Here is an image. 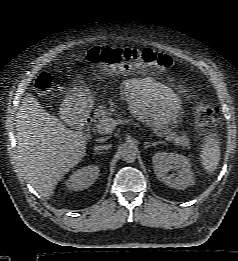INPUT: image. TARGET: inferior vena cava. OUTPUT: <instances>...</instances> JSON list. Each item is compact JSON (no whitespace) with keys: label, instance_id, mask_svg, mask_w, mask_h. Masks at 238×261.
I'll return each instance as SVG.
<instances>
[{"label":"inferior vena cava","instance_id":"obj_1","mask_svg":"<svg viewBox=\"0 0 238 261\" xmlns=\"http://www.w3.org/2000/svg\"><path fill=\"white\" fill-rule=\"evenodd\" d=\"M109 145H100V146H96L95 147V150H106V149H109Z\"/></svg>","mask_w":238,"mask_h":261}]
</instances>
